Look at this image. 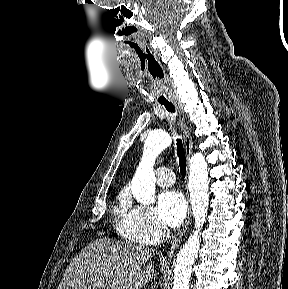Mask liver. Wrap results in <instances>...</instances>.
<instances>
[{
	"label": "liver",
	"mask_w": 288,
	"mask_h": 289,
	"mask_svg": "<svg viewBox=\"0 0 288 289\" xmlns=\"http://www.w3.org/2000/svg\"><path fill=\"white\" fill-rule=\"evenodd\" d=\"M154 250L99 238L70 262L57 289H141L156 276Z\"/></svg>",
	"instance_id": "obj_1"
}]
</instances>
